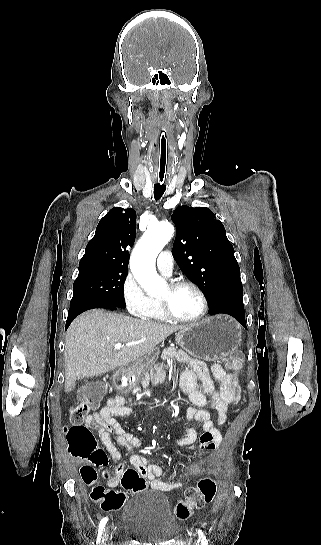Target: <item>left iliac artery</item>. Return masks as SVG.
Here are the masks:
<instances>
[{
    "instance_id": "left-iliac-artery-1",
    "label": "left iliac artery",
    "mask_w": 321,
    "mask_h": 545,
    "mask_svg": "<svg viewBox=\"0 0 321 545\" xmlns=\"http://www.w3.org/2000/svg\"><path fill=\"white\" fill-rule=\"evenodd\" d=\"M198 536H199V539H200L202 545H208L207 539H206L204 533L202 532V530H200V529L198 530Z\"/></svg>"
}]
</instances>
